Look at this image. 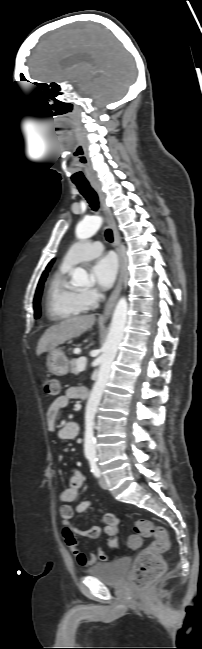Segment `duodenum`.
I'll return each instance as SVG.
<instances>
[{
	"instance_id": "obj_1",
	"label": "duodenum",
	"mask_w": 202,
	"mask_h": 649,
	"mask_svg": "<svg viewBox=\"0 0 202 649\" xmlns=\"http://www.w3.org/2000/svg\"><path fill=\"white\" fill-rule=\"evenodd\" d=\"M86 396H87V390H85V394H84V397H86Z\"/></svg>"
}]
</instances>
